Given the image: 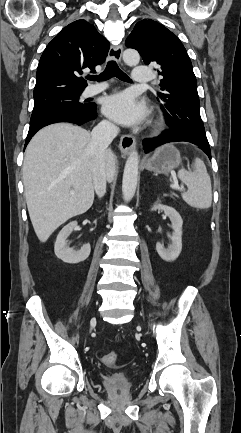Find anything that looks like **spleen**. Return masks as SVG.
<instances>
[{"label":"spleen","instance_id":"1","mask_svg":"<svg viewBox=\"0 0 241 433\" xmlns=\"http://www.w3.org/2000/svg\"><path fill=\"white\" fill-rule=\"evenodd\" d=\"M193 168L192 172L183 168L178 171V178L188 188L187 192H183L181 196L192 207L208 209L212 203L210 176L204 162L199 158H195Z\"/></svg>","mask_w":241,"mask_h":433}]
</instances>
